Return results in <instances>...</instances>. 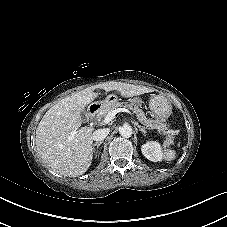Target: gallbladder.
Here are the masks:
<instances>
[{
	"label": "gallbladder",
	"mask_w": 227,
	"mask_h": 227,
	"mask_svg": "<svg viewBox=\"0 0 227 227\" xmlns=\"http://www.w3.org/2000/svg\"><path fill=\"white\" fill-rule=\"evenodd\" d=\"M85 115V110L82 111L81 116L84 117Z\"/></svg>",
	"instance_id": "obj_1"
}]
</instances>
